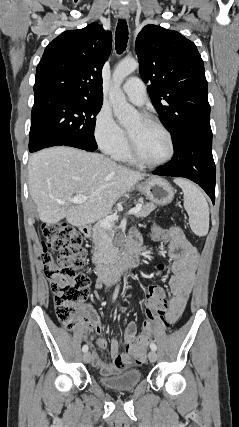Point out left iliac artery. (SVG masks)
Segmentation results:
<instances>
[{
	"instance_id": "44dca946",
	"label": "left iliac artery",
	"mask_w": 239,
	"mask_h": 427,
	"mask_svg": "<svg viewBox=\"0 0 239 427\" xmlns=\"http://www.w3.org/2000/svg\"><path fill=\"white\" fill-rule=\"evenodd\" d=\"M150 348H151V350H154V351L157 350V346L154 342L151 343Z\"/></svg>"
}]
</instances>
